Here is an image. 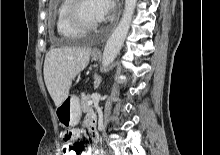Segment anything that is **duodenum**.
Listing matches in <instances>:
<instances>
[{
  "label": "duodenum",
  "instance_id": "duodenum-1",
  "mask_svg": "<svg viewBox=\"0 0 220 155\" xmlns=\"http://www.w3.org/2000/svg\"><path fill=\"white\" fill-rule=\"evenodd\" d=\"M89 131H90V134L92 135L93 138H97L98 137V130H97L96 122H93L90 125Z\"/></svg>",
  "mask_w": 220,
  "mask_h": 155
}]
</instances>
